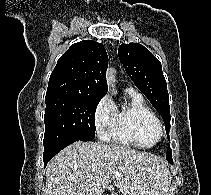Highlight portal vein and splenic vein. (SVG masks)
Wrapping results in <instances>:
<instances>
[{"label":"portal vein and splenic vein","mask_w":211,"mask_h":195,"mask_svg":"<svg viewBox=\"0 0 211 195\" xmlns=\"http://www.w3.org/2000/svg\"><path fill=\"white\" fill-rule=\"evenodd\" d=\"M113 176H115L118 180L120 179V174L118 172L113 173Z\"/></svg>","instance_id":"portal-vein-and-splenic-vein-1"}]
</instances>
